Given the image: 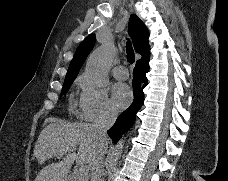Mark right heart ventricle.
I'll return each mask as SVG.
<instances>
[{
    "mask_svg": "<svg viewBox=\"0 0 228 181\" xmlns=\"http://www.w3.org/2000/svg\"><path fill=\"white\" fill-rule=\"evenodd\" d=\"M74 84L75 85H78V86H84L86 83L85 81L82 79V77H77L74 81Z\"/></svg>",
    "mask_w": 228,
    "mask_h": 181,
    "instance_id": "obj_1",
    "label": "right heart ventricle"
}]
</instances>
